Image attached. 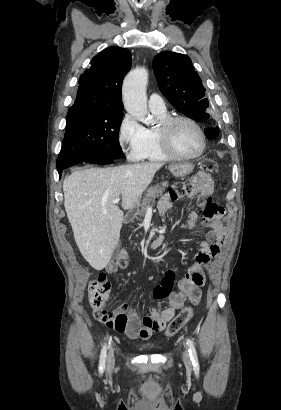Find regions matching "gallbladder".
<instances>
[{"label":"gallbladder","mask_w":281,"mask_h":410,"mask_svg":"<svg viewBox=\"0 0 281 410\" xmlns=\"http://www.w3.org/2000/svg\"><path fill=\"white\" fill-rule=\"evenodd\" d=\"M118 247L119 246L117 245L115 251H113L112 257H115Z\"/></svg>","instance_id":"1"}]
</instances>
